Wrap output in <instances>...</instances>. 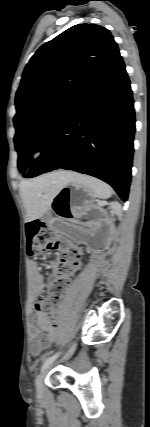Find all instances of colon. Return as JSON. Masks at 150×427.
Returning <instances> with one entry per match:
<instances>
[{
	"label": "colon",
	"mask_w": 150,
	"mask_h": 427,
	"mask_svg": "<svg viewBox=\"0 0 150 427\" xmlns=\"http://www.w3.org/2000/svg\"><path fill=\"white\" fill-rule=\"evenodd\" d=\"M27 253L38 257L49 250H59L62 260L57 277L51 281L49 292L39 299L37 310L44 313L52 326L59 323V312L64 290L69 286V278L80 264L81 250L62 235L54 233L44 222L34 220L27 225Z\"/></svg>",
	"instance_id": "1"
}]
</instances>
